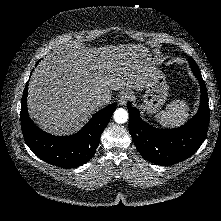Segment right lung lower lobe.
<instances>
[{"label":"right lung lower lobe","mask_w":221,"mask_h":221,"mask_svg":"<svg viewBox=\"0 0 221 221\" xmlns=\"http://www.w3.org/2000/svg\"><path fill=\"white\" fill-rule=\"evenodd\" d=\"M27 88L21 100V128L23 137L31 151L43 161L66 169L87 163L94 155L100 136L108 124L116 104L113 103L96 113L76 134L53 136L39 129L28 116Z\"/></svg>","instance_id":"1"}]
</instances>
